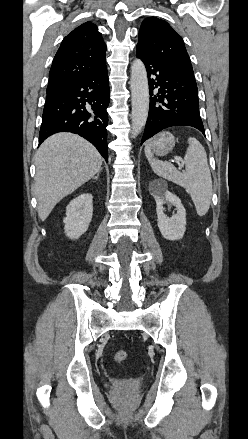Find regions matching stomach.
Instances as JSON below:
<instances>
[{"label": "stomach", "mask_w": 248, "mask_h": 439, "mask_svg": "<svg viewBox=\"0 0 248 439\" xmlns=\"http://www.w3.org/2000/svg\"><path fill=\"white\" fill-rule=\"evenodd\" d=\"M174 145L175 138L168 131L159 133L147 144V146H149L151 149V153L158 156H164L168 154L173 149Z\"/></svg>", "instance_id": "0dacf381"}]
</instances>
